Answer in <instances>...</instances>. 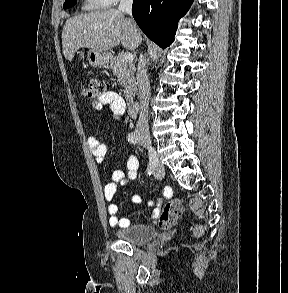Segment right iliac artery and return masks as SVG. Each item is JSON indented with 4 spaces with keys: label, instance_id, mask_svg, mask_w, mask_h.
<instances>
[{
    "label": "right iliac artery",
    "instance_id": "obj_1",
    "mask_svg": "<svg viewBox=\"0 0 288 293\" xmlns=\"http://www.w3.org/2000/svg\"><path fill=\"white\" fill-rule=\"evenodd\" d=\"M128 141L132 144H137L138 143V138L134 133H129L128 134ZM148 151L150 153V163L148 166V174H150V170H157L159 167V164H161V159H159L158 156H155V148L154 147H149Z\"/></svg>",
    "mask_w": 288,
    "mask_h": 293
}]
</instances>
